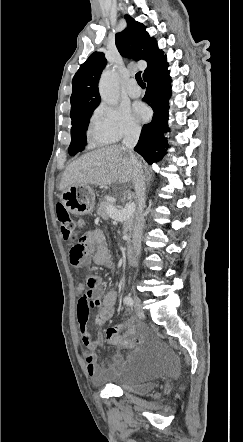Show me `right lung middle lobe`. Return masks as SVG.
<instances>
[{"mask_svg": "<svg viewBox=\"0 0 243 442\" xmlns=\"http://www.w3.org/2000/svg\"><path fill=\"white\" fill-rule=\"evenodd\" d=\"M93 111L94 110L84 112L72 120L71 144L68 149L69 154L72 156L77 154L79 151H82L86 145L87 139L85 136V131L87 130L89 119Z\"/></svg>", "mask_w": 243, "mask_h": 442, "instance_id": "right-lung-middle-lobe-1", "label": "right lung middle lobe"}]
</instances>
